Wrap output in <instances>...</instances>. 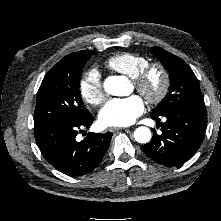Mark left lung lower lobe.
<instances>
[{
	"instance_id": "left-lung-lower-lobe-1",
	"label": "left lung lower lobe",
	"mask_w": 221,
	"mask_h": 221,
	"mask_svg": "<svg viewBox=\"0 0 221 221\" xmlns=\"http://www.w3.org/2000/svg\"><path fill=\"white\" fill-rule=\"evenodd\" d=\"M166 122L162 134L154 129L152 140L142 146L145 154L155 162L167 167L180 165L189 160L203 142L207 126L205 109H179L162 115ZM160 121L159 117L152 115Z\"/></svg>"
}]
</instances>
